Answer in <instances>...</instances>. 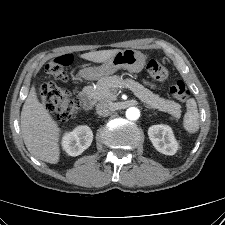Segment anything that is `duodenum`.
I'll use <instances>...</instances> for the list:
<instances>
[{"instance_id":"duodenum-1","label":"duodenum","mask_w":225,"mask_h":225,"mask_svg":"<svg viewBox=\"0 0 225 225\" xmlns=\"http://www.w3.org/2000/svg\"><path fill=\"white\" fill-rule=\"evenodd\" d=\"M80 106L83 110H89L93 107L94 99L91 95L84 93L80 97Z\"/></svg>"}]
</instances>
